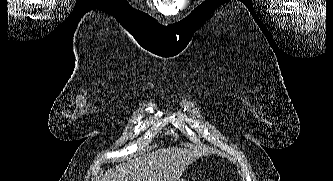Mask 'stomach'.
Returning <instances> with one entry per match:
<instances>
[{"label": "stomach", "instance_id": "0dacf381", "mask_svg": "<svg viewBox=\"0 0 333 181\" xmlns=\"http://www.w3.org/2000/svg\"><path fill=\"white\" fill-rule=\"evenodd\" d=\"M179 181H186L185 179H181V180H179Z\"/></svg>", "mask_w": 333, "mask_h": 181}]
</instances>
